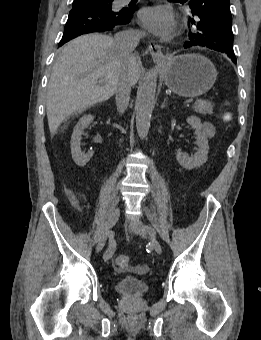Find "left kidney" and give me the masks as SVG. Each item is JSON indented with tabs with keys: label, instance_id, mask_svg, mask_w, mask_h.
<instances>
[{
	"label": "left kidney",
	"instance_id": "left-kidney-1",
	"mask_svg": "<svg viewBox=\"0 0 261 340\" xmlns=\"http://www.w3.org/2000/svg\"><path fill=\"white\" fill-rule=\"evenodd\" d=\"M187 123L195 129L198 149L191 157L181 151H177L176 158L181 166L187 170H192L206 163L208 159L209 145L207 137L203 132L201 120L196 116H191L187 118Z\"/></svg>",
	"mask_w": 261,
	"mask_h": 340
}]
</instances>
